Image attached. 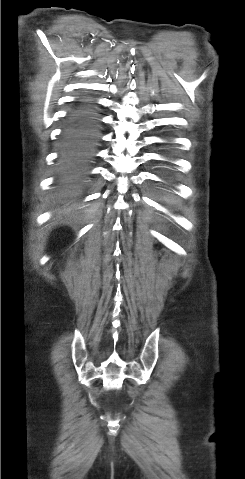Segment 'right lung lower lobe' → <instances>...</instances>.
Segmentation results:
<instances>
[{"label": "right lung lower lobe", "mask_w": 245, "mask_h": 479, "mask_svg": "<svg viewBox=\"0 0 245 479\" xmlns=\"http://www.w3.org/2000/svg\"><path fill=\"white\" fill-rule=\"evenodd\" d=\"M100 113L89 99H81L69 111L61 136L57 190L75 197L84 186L95 148L100 138Z\"/></svg>", "instance_id": "obj_1"}]
</instances>
